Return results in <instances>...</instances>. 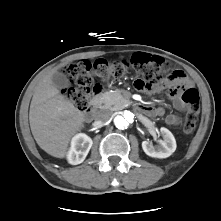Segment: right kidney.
Returning a JSON list of instances; mask_svg holds the SVG:
<instances>
[{
    "label": "right kidney",
    "mask_w": 221,
    "mask_h": 221,
    "mask_svg": "<svg viewBox=\"0 0 221 221\" xmlns=\"http://www.w3.org/2000/svg\"><path fill=\"white\" fill-rule=\"evenodd\" d=\"M92 139L84 133L72 138L71 147L67 154L68 162L72 165L82 163L92 147Z\"/></svg>",
    "instance_id": "right-kidney-1"
}]
</instances>
